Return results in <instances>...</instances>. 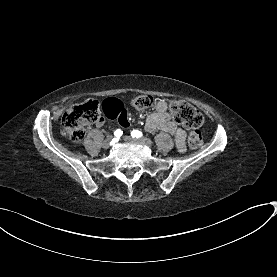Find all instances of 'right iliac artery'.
I'll list each match as a JSON object with an SVG mask.
<instances>
[{
  "label": "right iliac artery",
  "mask_w": 277,
  "mask_h": 277,
  "mask_svg": "<svg viewBox=\"0 0 277 277\" xmlns=\"http://www.w3.org/2000/svg\"><path fill=\"white\" fill-rule=\"evenodd\" d=\"M122 134H123V132H122V130H120V129H117V130L114 132V135H115L117 138L121 137Z\"/></svg>",
  "instance_id": "82829eb1"
}]
</instances>
